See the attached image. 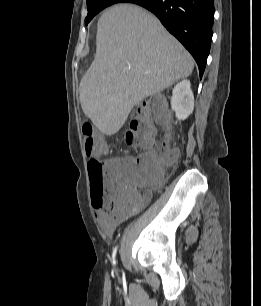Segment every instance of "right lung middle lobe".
<instances>
[{
	"mask_svg": "<svg viewBox=\"0 0 261 306\" xmlns=\"http://www.w3.org/2000/svg\"><path fill=\"white\" fill-rule=\"evenodd\" d=\"M120 2L121 0H87L88 15L85 18V23L88 24L104 8Z\"/></svg>",
	"mask_w": 261,
	"mask_h": 306,
	"instance_id": "right-lung-middle-lobe-1",
	"label": "right lung middle lobe"
}]
</instances>
